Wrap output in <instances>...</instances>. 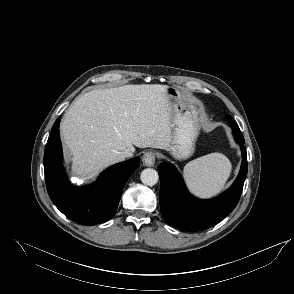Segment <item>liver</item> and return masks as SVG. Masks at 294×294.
<instances>
[{
    "mask_svg": "<svg viewBox=\"0 0 294 294\" xmlns=\"http://www.w3.org/2000/svg\"><path fill=\"white\" fill-rule=\"evenodd\" d=\"M167 89L160 84L125 85L79 97L61 125L73 155V173L93 177L123 161L122 152H134V146L167 149L173 114Z\"/></svg>",
    "mask_w": 294,
    "mask_h": 294,
    "instance_id": "1",
    "label": "liver"
}]
</instances>
